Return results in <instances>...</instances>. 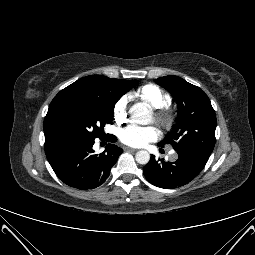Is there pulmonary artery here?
I'll return each mask as SVG.
<instances>
[{"label": "pulmonary artery", "instance_id": "pulmonary-artery-1", "mask_svg": "<svg viewBox=\"0 0 255 255\" xmlns=\"http://www.w3.org/2000/svg\"><path fill=\"white\" fill-rule=\"evenodd\" d=\"M170 157H171V159H174V158L176 157V154H175L174 151H171V152H170Z\"/></svg>", "mask_w": 255, "mask_h": 255}]
</instances>
